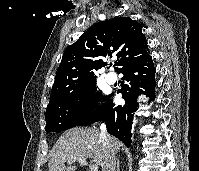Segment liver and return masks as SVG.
<instances>
[{
    "label": "liver",
    "mask_w": 199,
    "mask_h": 171,
    "mask_svg": "<svg viewBox=\"0 0 199 171\" xmlns=\"http://www.w3.org/2000/svg\"><path fill=\"white\" fill-rule=\"evenodd\" d=\"M122 143L115 137L105 139L96 128L76 127L66 131L54 145L49 160V171H75L76 166L66 167L80 159L90 158L103 169L108 150H119ZM71 162V163H69Z\"/></svg>",
    "instance_id": "6515ba94"
}]
</instances>
